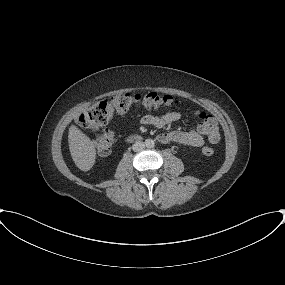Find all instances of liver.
<instances>
[{"mask_svg": "<svg viewBox=\"0 0 285 285\" xmlns=\"http://www.w3.org/2000/svg\"><path fill=\"white\" fill-rule=\"evenodd\" d=\"M68 142L75 165L82 171H89L96 159V150L93 142L74 125H71L69 128Z\"/></svg>", "mask_w": 285, "mask_h": 285, "instance_id": "6515ba94", "label": "liver"}]
</instances>
